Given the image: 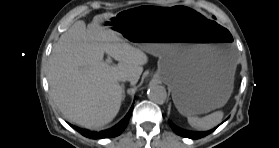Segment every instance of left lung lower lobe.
<instances>
[{
	"label": "left lung lower lobe",
	"mask_w": 279,
	"mask_h": 148,
	"mask_svg": "<svg viewBox=\"0 0 279 148\" xmlns=\"http://www.w3.org/2000/svg\"><path fill=\"white\" fill-rule=\"evenodd\" d=\"M172 130L180 135V136H183V137H186V138H191V139H199V138H202L208 134H210L211 132H213L216 128L210 130V131H207V132H200V133H192V132H188V131H184V130H181V129H178V128H175L173 127L172 125H170Z\"/></svg>",
	"instance_id": "1"
}]
</instances>
